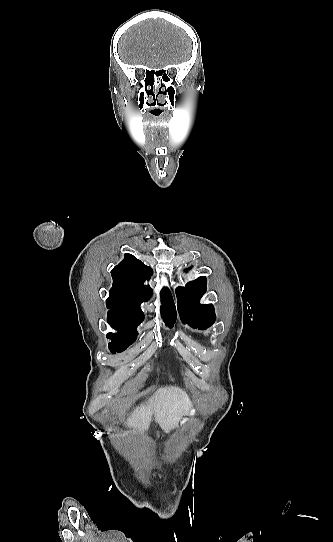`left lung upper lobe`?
Returning a JSON list of instances; mask_svg holds the SVG:
<instances>
[{
	"label": "left lung upper lobe",
	"mask_w": 333,
	"mask_h": 542,
	"mask_svg": "<svg viewBox=\"0 0 333 542\" xmlns=\"http://www.w3.org/2000/svg\"><path fill=\"white\" fill-rule=\"evenodd\" d=\"M206 283V277L202 276L176 289L181 321L202 330L212 326L216 319L212 304H200V298L207 290Z\"/></svg>",
	"instance_id": "1"
}]
</instances>
